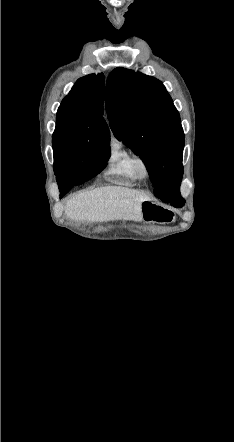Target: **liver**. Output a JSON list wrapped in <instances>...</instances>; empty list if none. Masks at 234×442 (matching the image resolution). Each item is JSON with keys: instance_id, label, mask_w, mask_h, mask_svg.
<instances>
[{"instance_id": "obj_1", "label": "liver", "mask_w": 234, "mask_h": 442, "mask_svg": "<svg viewBox=\"0 0 234 442\" xmlns=\"http://www.w3.org/2000/svg\"><path fill=\"white\" fill-rule=\"evenodd\" d=\"M150 200L142 192L121 186H107L80 192L65 207L68 218L91 222L142 221L141 203Z\"/></svg>"}]
</instances>
